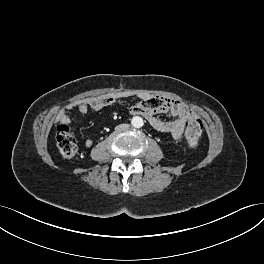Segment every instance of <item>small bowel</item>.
<instances>
[{"label":"small bowel","mask_w":264,"mask_h":264,"mask_svg":"<svg viewBox=\"0 0 264 264\" xmlns=\"http://www.w3.org/2000/svg\"><path fill=\"white\" fill-rule=\"evenodd\" d=\"M129 97L134 99V104L130 107L132 114L144 116L155 130L160 133H169L174 139L182 138L187 120L195 118L194 111L186 104L178 100L154 96L147 92L120 91L103 94L77 101L70 104L67 109H76L82 114H89L116 103H123ZM157 113H167L176 118L171 121L161 120L156 117ZM57 120L64 123L68 122L66 110H61L57 114ZM92 145L93 141L91 139L85 140L86 147Z\"/></svg>","instance_id":"obj_1"}]
</instances>
